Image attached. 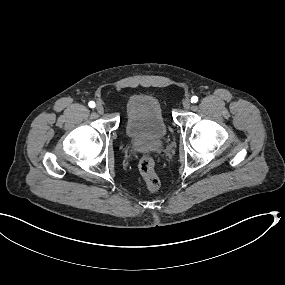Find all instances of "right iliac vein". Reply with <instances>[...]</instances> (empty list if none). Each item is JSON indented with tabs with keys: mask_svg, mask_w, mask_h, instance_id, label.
Returning <instances> with one entry per match:
<instances>
[{
	"mask_svg": "<svg viewBox=\"0 0 285 285\" xmlns=\"http://www.w3.org/2000/svg\"><path fill=\"white\" fill-rule=\"evenodd\" d=\"M96 110L98 113L102 114L104 112V107L101 104H97Z\"/></svg>",
	"mask_w": 285,
	"mask_h": 285,
	"instance_id": "1",
	"label": "right iliac vein"
}]
</instances>
